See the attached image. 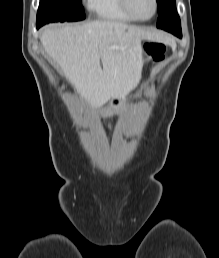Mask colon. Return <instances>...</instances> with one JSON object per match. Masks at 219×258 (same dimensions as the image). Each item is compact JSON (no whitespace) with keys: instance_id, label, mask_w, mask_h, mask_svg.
<instances>
[{"instance_id":"colon-1","label":"colon","mask_w":219,"mask_h":258,"mask_svg":"<svg viewBox=\"0 0 219 258\" xmlns=\"http://www.w3.org/2000/svg\"><path fill=\"white\" fill-rule=\"evenodd\" d=\"M144 51L148 58L154 62H159L164 58L165 45L158 42H146L143 45Z\"/></svg>"}]
</instances>
